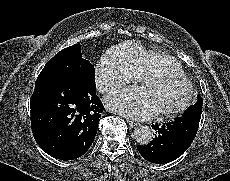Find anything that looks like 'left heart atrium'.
<instances>
[{"instance_id":"39dd6f15","label":"left heart atrium","mask_w":230,"mask_h":181,"mask_svg":"<svg viewBox=\"0 0 230 181\" xmlns=\"http://www.w3.org/2000/svg\"><path fill=\"white\" fill-rule=\"evenodd\" d=\"M144 89L132 87L109 95L106 98L107 106L127 117L135 119H148L156 114V109L151 106L142 95Z\"/></svg>"}]
</instances>
